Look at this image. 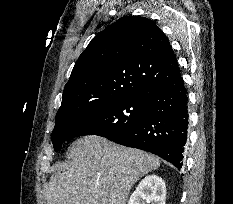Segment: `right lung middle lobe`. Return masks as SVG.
Here are the masks:
<instances>
[{"mask_svg": "<svg viewBox=\"0 0 233 204\" xmlns=\"http://www.w3.org/2000/svg\"><path fill=\"white\" fill-rule=\"evenodd\" d=\"M148 96L113 100L91 111L72 116L55 126L52 133L54 150L60 142L82 135H99L108 139L129 130L148 115Z\"/></svg>", "mask_w": 233, "mask_h": 204, "instance_id": "obj_1", "label": "right lung middle lobe"}]
</instances>
